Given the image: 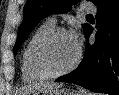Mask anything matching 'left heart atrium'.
I'll use <instances>...</instances> for the list:
<instances>
[{
  "label": "left heart atrium",
  "mask_w": 119,
  "mask_h": 95,
  "mask_svg": "<svg viewBox=\"0 0 119 95\" xmlns=\"http://www.w3.org/2000/svg\"><path fill=\"white\" fill-rule=\"evenodd\" d=\"M72 38L74 39V41L76 42V44H79V36L77 33H73L71 34Z\"/></svg>",
  "instance_id": "obj_1"
}]
</instances>
